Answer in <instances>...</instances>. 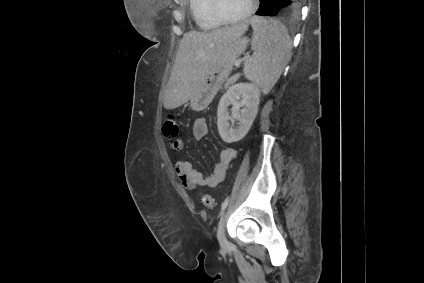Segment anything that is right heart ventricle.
<instances>
[{"instance_id":"right-heart-ventricle-1","label":"right heart ventricle","mask_w":424,"mask_h":283,"mask_svg":"<svg viewBox=\"0 0 424 283\" xmlns=\"http://www.w3.org/2000/svg\"><path fill=\"white\" fill-rule=\"evenodd\" d=\"M189 9L196 26L201 30H214L221 26L209 12V0H189Z\"/></svg>"}]
</instances>
